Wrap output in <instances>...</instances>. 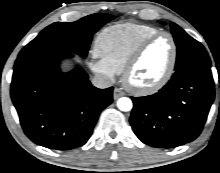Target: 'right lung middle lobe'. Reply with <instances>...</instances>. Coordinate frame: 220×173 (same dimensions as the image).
<instances>
[{
  "label": "right lung middle lobe",
  "instance_id": "right-lung-middle-lobe-1",
  "mask_svg": "<svg viewBox=\"0 0 220 173\" xmlns=\"http://www.w3.org/2000/svg\"><path fill=\"white\" fill-rule=\"evenodd\" d=\"M112 19L114 16L110 14L97 13L76 22L53 23L27 44L18 57L48 49H64L85 58L92 35Z\"/></svg>",
  "mask_w": 220,
  "mask_h": 173
}]
</instances>
